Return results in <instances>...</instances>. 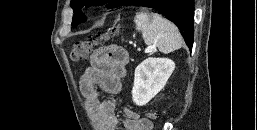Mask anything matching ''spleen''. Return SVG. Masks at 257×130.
Masks as SVG:
<instances>
[{
    "label": "spleen",
    "mask_w": 257,
    "mask_h": 130,
    "mask_svg": "<svg viewBox=\"0 0 257 130\" xmlns=\"http://www.w3.org/2000/svg\"><path fill=\"white\" fill-rule=\"evenodd\" d=\"M136 30L142 32L146 45L156 46L162 53H170L182 47L183 40L178 28L159 14L137 12L134 18Z\"/></svg>",
    "instance_id": "spleen-1"
}]
</instances>
